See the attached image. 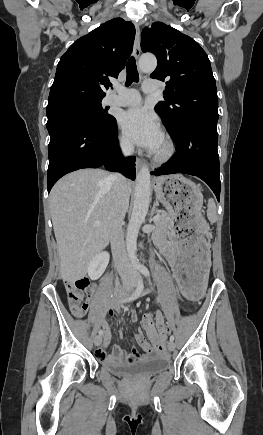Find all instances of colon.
I'll return each mask as SVG.
<instances>
[{
  "label": "colon",
  "mask_w": 263,
  "mask_h": 435,
  "mask_svg": "<svg viewBox=\"0 0 263 435\" xmlns=\"http://www.w3.org/2000/svg\"><path fill=\"white\" fill-rule=\"evenodd\" d=\"M88 286L89 282L87 279H77L65 282V289L67 292L70 309L77 317H82L86 313V295L88 291ZM170 329L171 324H166L165 332L168 335L172 334V331Z\"/></svg>",
  "instance_id": "5ec220e1"
}]
</instances>
